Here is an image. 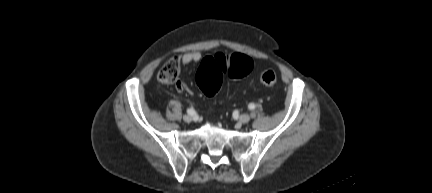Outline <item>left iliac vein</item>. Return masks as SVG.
I'll return each mask as SVG.
<instances>
[{
	"instance_id": "obj_1",
	"label": "left iliac vein",
	"mask_w": 432,
	"mask_h": 193,
	"mask_svg": "<svg viewBox=\"0 0 432 193\" xmlns=\"http://www.w3.org/2000/svg\"><path fill=\"white\" fill-rule=\"evenodd\" d=\"M239 121L241 122V123H248L249 121H250V116L248 115V114H242V115H240V117H239Z\"/></svg>"
}]
</instances>
